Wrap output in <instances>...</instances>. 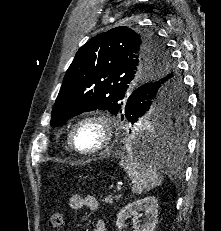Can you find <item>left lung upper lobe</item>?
I'll use <instances>...</instances> for the list:
<instances>
[{"instance_id": "1", "label": "left lung upper lobe", "mask_w": 221, "mask_h": 231, "mask_svg": "<svg viewBox=\"0 0 221 231\" xmlns=\"http://www.w3.org/2000/svg\"><path fill=\"white\" fill-rule=\"evenodd\" d=\"M137 85L140 100L130 104L128 98ZM181 87L167 46L156 33L116 27L78 50L64 76L50 125L101 109L126 118L131 112L138 119L151 115L158 127L183 130L186 98Z\"/></svg>"}]
</instances>
